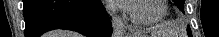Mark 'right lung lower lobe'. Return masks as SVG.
<instances>
[{
  "instance_id": "98d812e1",
  "label": "right lung lower lobe",
  "mask_w": 219,
  "mask_h": 37,
  "mask_svg": "<svg viewBox=\"0 0 219 37\" xmlns=\"http://www.w3.org/2000/svg\"><path fill=\"white\" fill-rule=\"evenodd\" d=\"M25 37L68 29L88 37H110L112 25L99 0H23Z\"/></svg>"
}]
</instances>
